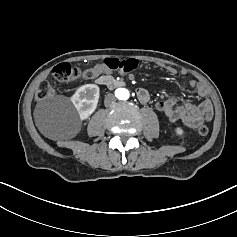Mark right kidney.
Listing matches in <instances>:
<instances>
[{"instance_id": "1", "label": "right kidney", "mask_w": 237, "mask_h": 237, "mask_svg": "<svg viewBox=\"0 0 237 237\" xmlns=\"http://www.w3.org/2000/svg\"><path fill=\"white\" fill-rule=\"evenodd\" d=\"M99 100V87L96 84H85L77 89L71 97L81 120L87 119L96 109Z\"/></svg>"}]
</instances>
